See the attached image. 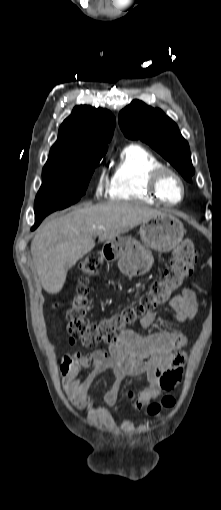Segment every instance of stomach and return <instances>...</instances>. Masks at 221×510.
Masks as SVG:
<instances>
[{
  "instance_id": "0dacf381",
  "label": "stomach",
  "mask_w": 221,
  "mask_h": 510,
  "mask_svg": "<svg viewBox=\"0 0 221 510\" xmlns=\"http://www.w3.org/2000/svg\"><path fill=\"white\" fill-rule=\"evenodd\" d=\"M182 222L169 213H160L143 222L139 229L142 243L131 237H115L104 244L107 259L117 260L120 272L129 277L147 273L154 262L152 250L169 252L183 239Z\"/></svg>"
}]
</instances>
